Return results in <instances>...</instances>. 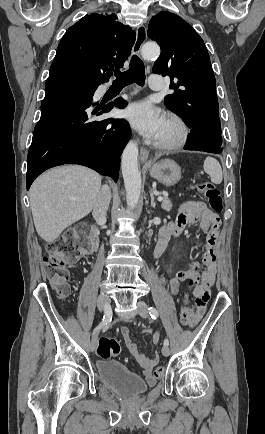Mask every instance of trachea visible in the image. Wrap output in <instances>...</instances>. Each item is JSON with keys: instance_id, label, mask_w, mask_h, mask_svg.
<instances>
[{"instance_id": "obj_1", "label": "trachea", "mask_w": 265, "mask_h": 434, "mask_svg": "<svg viewBox=\"0 0 265 434\" xmlns=\"http://www.w3.org/2000/svg\"><path fill=\"white\" fill-rule=\"evenodd\" d=\"M114 83L129 85L131 83L136 82L138 85H144L145 83V67L142 60L137 57V55H133L130 61V68L126 70V72H120V70H115Z\"/></svg>"}]
</instances>
